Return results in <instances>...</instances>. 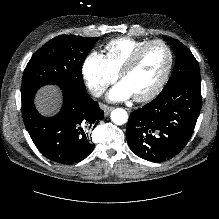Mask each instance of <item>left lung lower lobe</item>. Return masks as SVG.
Masks as SVG:
<instances>
[{"label":"left lung lower lobe","instance_id":"left-lung-lower-lobe-1","mask_svg":"<svg viewBox=\"0 0 219 219\" xmlns=\"http://www.w3.org/2000/svg\"><path fill=\"white\" fill-rule=\"evenodd\" d=\"M201 108L200 80L185 79L130 114L131 150L152 162L169 160L188 143Z\"/></svg>","mask_w":219,"mask_h":219}]
</instances>
